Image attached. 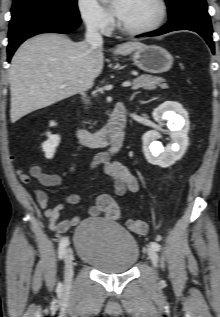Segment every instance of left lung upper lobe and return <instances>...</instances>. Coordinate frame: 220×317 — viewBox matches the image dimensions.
I'll return each mask as SVG.
<instances>
[{
    "instance_id": "left-lung-upper-lobe-1",
    "label": "left lung upper lobe",
    "mask_w": 220,
    "mask_h": 317,
    "mask_svg": "<svg viewBox=\"0 0 220 317\" xmlns=\"http://www.w3.org/2000/svg\"><path fill=\"white\" fill-rule=\"evenodd\" d=\"M168 6L169 16L175 15L189 0H165ZM204 1V0H203Z\"/></svg>"
}]
</instances>
